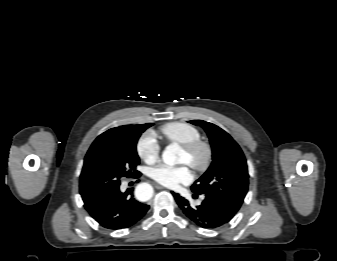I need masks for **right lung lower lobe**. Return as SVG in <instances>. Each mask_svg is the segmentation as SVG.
Segmentation results:
<instances>
[{
    "mask_svg": "<svg viewBox=\"0 0 337 261\" xmlns=\"http://www.w3.org/2000/svg\"><path fill=\"white\" fill-rule=\"evenodd\" d=\"M140 173L137 175L139 177ZM119 186L99 193L84 202V207L102 227L117 230L137 223L149 206L136 201L131 189L122 193Z\"/></svg>",
    "mask_w": 337,
    "mask_h": 261,
    "instance_id": "right-lung-lower-lobe-1",
    "label": "right lung lower lobe"
}]
</instances>
